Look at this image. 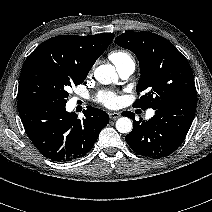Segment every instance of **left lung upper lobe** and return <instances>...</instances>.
Masks as SVG:
<instances>
[{"label":"left lung upper lobe","mask_w":212,"mask_h":212,"mask_svg":"<svg viewBox=\"0 0 212 212\" xmlns=\"http://www.w3.org/2000/svg\"><path fill=\"white\" fill-rule=\"evenodd\" d=\"M115 43L134 52L139 60L141 77L136 91L145 95L134 107L157 109L178 98L197 97L187 59L164 37L151 32H126Z\"/></svg>","instance_id":"left-lung-upper-lobe-1"}]
</instances>
